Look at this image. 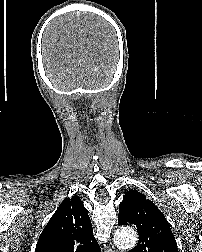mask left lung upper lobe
Segmentation results:
<instances>
[{"label": "left lung upper lobe", "instance_id": "obj_1", "mask_svg": "<svg viewBox=\"0 0 202 252\" xmlns=\"http://www.w3.org/2000/svg\"><path fill=\"white\" fill-rule=\"evenodd\" d=\"M118 225L137 228L139 241L130 252H178L175 237L163 213L146 197L129 190L119 205Z\"/></svg>", "mask_w": 202, "mask_h": 252}]
</instances>
